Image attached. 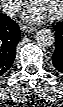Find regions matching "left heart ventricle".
Returning a JSON list of instances; mask_svg holds the SVG:
<instances>
[{
	"label": "left heart ventricle",
	"instance_id": "b2bd125f",
	"mask_svg": "<svg viewBox=\"0 0 63 107\" xmlns=\"http://www.w3.org/2000/svg\"><path fill=\"white\" fill-rule=\"evenodd\" d=\"M36 5L43 8L45 11H47L49 14L55 13L59 6H60V0L56 1H50V0H35L33 1Z\"/></svg>",
	"mask_w": 63,
	"mask_h": 107
}]
</instances>
